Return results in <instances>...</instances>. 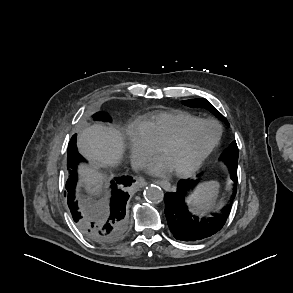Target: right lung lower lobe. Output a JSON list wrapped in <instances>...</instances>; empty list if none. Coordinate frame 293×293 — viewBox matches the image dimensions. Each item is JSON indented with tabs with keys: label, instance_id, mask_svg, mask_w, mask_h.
Listing matches in <instances>:
<instances>
[{
	"label": "right lung lower lobe",
	"instance_id": "98d812e1",
	"mask_svg": "<svg viewBox=\"0 0 293 293\" xmlns=\"http://www.w3.org/2000/svg\"><path fill=\"white\" fill-rule=\"evenodd\" d=\"M67 169L69 176L66 182L65 196L73 220L78 228L92 241L102 244L118 242L127 231L126 202L128 193L123 188L130 186L133 179L130 176L115 178L111 182L112 197L109 210L79 209L75 200L77 182V164L83 161L76 147V134L72 136L68 149Z\"/></svg>",
	"mask_w": 293,
	"mask_h": 293
}]
</instances>
